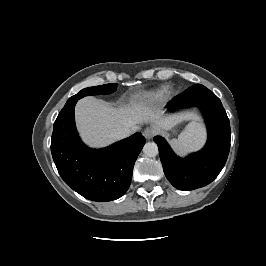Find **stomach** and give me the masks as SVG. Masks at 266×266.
<instances>
[{"mask_svg": "<svg viewBox=\"0 0 266 266\" xmlns=\"http://www.w3.org/2000/svg\"><path fill=\"white\" fill-rule=\"evenodd\" d=\"M179 126V122H176L171 128L170 131L172 134H175L177 132V127Z\"/></svg>", "mask_w": 266, "mask_h": 266, "instance_id": "obj_1", "label": "stomach"}]
</instances>
